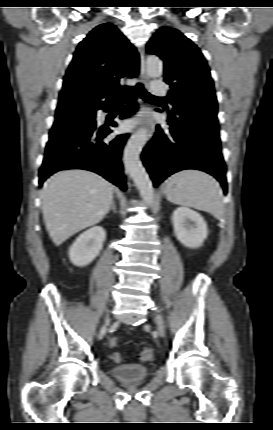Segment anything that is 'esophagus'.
<instances>
[{
  "mask_svg": "<svg viewBox=\"0 0 273 430\" xmlns=\"http://www.w3.org/2000/svg\"><path fill=\"white\" fill-rule=\"evenodd\" d=\"M139 54H140V78L143 83H146L149 78L145 70V59H144L143 49H139ZM142 108L145 109V106L143 105ZM146 122L150 126L149 138H152V135L154 133V123L150 118H147Z\"/></svg>",
  "mask_w": 273,
  "mask_h": 430,
  "instance_id": "esophagus-1",
  "label": "esophagus"
}]
</instances>
